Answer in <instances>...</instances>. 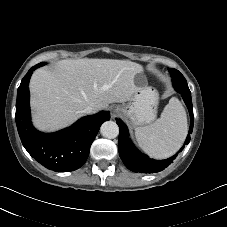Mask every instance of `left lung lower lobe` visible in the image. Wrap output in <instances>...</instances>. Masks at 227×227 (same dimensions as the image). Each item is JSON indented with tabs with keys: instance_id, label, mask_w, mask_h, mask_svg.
I'll return each mask as SVG.
<instances>
[{
	"instance_id": "obj_1",
	"label": "left lung lower lobe",
	"mask_w": 227,
	"mask_h": 227,
	"mask_svg": "<svg viewBox=\"0 0 227 227\" xmlns=\"http://www.w3.org/2000/svg\"><path fill=\"white\" fill-rule=\"evenodd\" d=\"M174 89L180 93L183 97L185 104L188 107L190 113V128L189 134L186 138L185 144L190 142V134L193 130V106L191 101V92L187 85V81L184 77H172ZM119 126V139H118V150L119 155L125 164V166L133 171L140 173H155L164 170L171 162L176 158L177 154L169 159L165 160H154L138 151L129 138V133L126 125L120 120L116 119ZM184 146L181 148V150ZM180 150V151H181Z\"/></svg>"
}]
</instances>
